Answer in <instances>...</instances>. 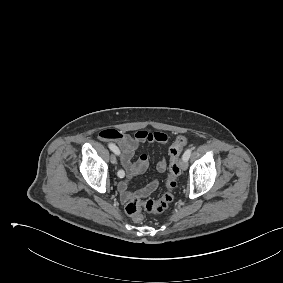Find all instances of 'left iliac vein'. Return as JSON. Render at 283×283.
Instances as JSON below:
<instances>
[{
    "label": "left iliac vein",
    "mask_w": 283,
    "mask_h": 283,
    "mask_svg": "<svg viewBox=\"0 0 283 283\" xmlns=\"http://www.w3.org/2000/svg\"><path fill=\"white\" fill-rule=\"evenodd\" d=\"M180 167L182 170H186L188 168L187 160H184L183 158L180 161Z\"/></svg>",
    "instance_id": "left-iliac-vein-1"
}]
</instances>
